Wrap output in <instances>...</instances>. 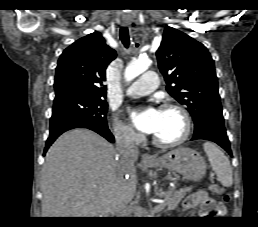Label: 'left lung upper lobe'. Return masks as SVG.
I'll use <instances>...</instances> for the list:
<instances>
[{"mask_svg":"<svg viewBox=\"0 0 258 227\" xmlns=\"http://www.w3.org/2000/svg\"><path fill=\"white\" fill-rule=\"evenodd\" d=\"M156 56L166 90L187 106L194 133L211 122L224 123L214 61L202 43L166 27Z\"/></svg>","mask_w":258,"mask_h":227,"instance_id":"5c2ea615","label":"left lung upper lobe"}]
</instances>
